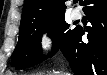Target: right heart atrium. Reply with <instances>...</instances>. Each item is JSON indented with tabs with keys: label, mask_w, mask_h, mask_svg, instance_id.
Listing matches in <instances>:
<instances>
[{
	"label": "right heart atrium",
	"mask_w": 107,
	"mask_h": 75,
	"mask_svg": "<svg viewBox=\"0 0 107 75\" xmlns=\"http://www.w3.org/2000/svg\"><path fill=\"white\" fill-rule=\"evenodd\" d=\"M54 43L55 40L52 32L48 29L44 30L39 37V49L44 53L49 52L52 50Z\"/></svg>",
	"instance_id": "obj_1"
}]
</instances>
